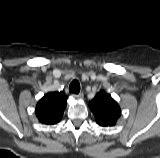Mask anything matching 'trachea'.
<instances>
[{
  "instance_id": "trachea-1",
  "label": "trachea",
  "mask_w": 160,
  "mask_h": 158,
  "mask_svg": "<svg viewBox=\"0 0 160 158\" xmlns=\"http://www.w3.org/2000/svg\"><path fill=\"white\" fill-rule=\"evenodd\" d=\"M69 92L78 94L80 92V83L78 80H73L69 86Z\"/></svg>"
}]
</instances>
